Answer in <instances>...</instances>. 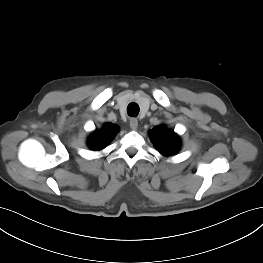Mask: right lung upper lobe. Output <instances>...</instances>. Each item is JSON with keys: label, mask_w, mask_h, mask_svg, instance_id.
Returning <instances> with one entry per match:
<instances>
[{"label": "right lung upper lobe", "mask_w": 263, "mask_h": 263, "mask_svg": "<svg viewBox=\"0 0 263 263\" xmlns=\"http://www.w3.org/2000/svg\"><path fill=\"white\" fill-rule=\"evenodd\" d=\"M118 127L107 123L101 130H96L88 139V146L95 151L101 150L114 138Z\"/></svg>", "instance_id": "obj_1"}]
</instances>
